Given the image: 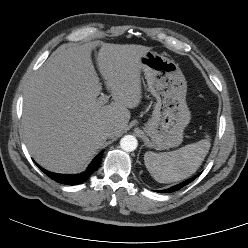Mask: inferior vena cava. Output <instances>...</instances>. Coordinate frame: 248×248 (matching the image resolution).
Segmentation results:
<instances>
[{"instance_id": "obj_1", "label": "inferior vena cava", "mask_w": 248, "mask_h": 248, "mask_svg": "<svg viewBox=\"0 0 248 248\" xmlns=\"http://www.w3.org/2000/svg\"><path fill=\"white\" fill-rule=\"evenodd\" d=\"M104 134L107 138H113L116 134V128L114 126H107L104 129Z\"/></svg>"}]
</instances>
